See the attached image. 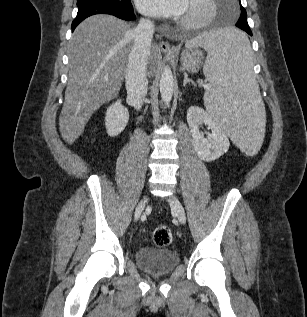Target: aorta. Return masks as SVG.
Segmentation results:
<instances>
[{"mask_svg":"<svg viewBox=\"0 0 307 317\" xmlns=\"http://www.w3.org/2000/svg\"><path fill=\"white\" fill-rule=\"evenodd\" d=\"M174 91V79L172 70L165 66L160 79V94L165 106H169Z\"/></svg>","mask_w":307,"mask_h":317,"instance_id":"obj_1","label":"aorta"}]
</instances>
